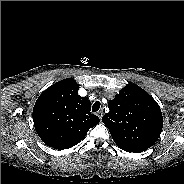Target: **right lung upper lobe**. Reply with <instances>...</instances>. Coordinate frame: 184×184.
Masks as SVG:
<instances>
[{
	"mask_svg": "<svg viewBox=\"0 0 184 184\" xmlns=\"http://www.w3.org/2000/svg\"><path fill=\"white\" fill-rule=\"evenodd\" d=\"M78 90L75 80L67 78L51 85L37 99L34 126L47 146L58 150L71 148L100 122L90 113L89 99L79 96Z\"/></svg>",
	"mask_w": 184,
	"mask_h": 184,
	"instance_id": "cb5924a9",
	"label": "right lung upper lobe"
}]
</instances>
